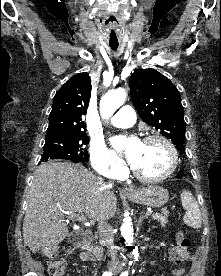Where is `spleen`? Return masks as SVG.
<instances>
[{"instance_id":"3e777b00","label":"spleen","mask_w":221,"mask_h":276,"mask_svg":"<svg viewBox=\"0 0 221 276\" xmlns=\"http://www.w3.org/2000/svg\"><path fill=\"white\" fill-rule=\"evenodd\" d=\"M182 206L186 210L183 221L189 227L194 229L201 228L202 217L199 205L191 192L184 190L181 193Z\"/></svg>"}]
</instances>
